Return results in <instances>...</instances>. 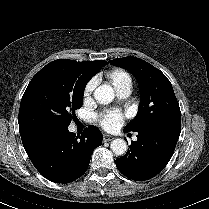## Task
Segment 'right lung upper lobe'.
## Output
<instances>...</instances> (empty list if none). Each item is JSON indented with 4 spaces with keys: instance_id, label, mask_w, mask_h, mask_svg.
I'll return each mask as SVG.
<instances>
[{
    "instance_id": "right-lung-upper-lobe-1",
    "label": "right lung upper lobe",
    "mask_w": 209,
    "mask_h": 209,
    "mask_svg": "<svg viewBox=\"0 0 209 209\" xmlns=\"http://www.w3.org/2000/svg\"><path fill=\"white\" fill-rule=\"evenodd\" d=\"M85 68L89 71L92 77L100 70L101 67L108 64L107 61L104 60H96V61H89V62H80ZM21 139L24 148L31 147L38 139L41 137L28 135L20 131Z\"/></svg>"
}]
</instances>
